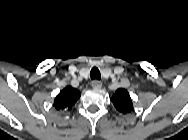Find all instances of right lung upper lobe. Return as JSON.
I'll return each instance as SVG.
<instances>
[{
  "mask_svg": "<svg viewBox=\"0 0 188 140\" xmlns=\"http://www.w3.org/2000/svg\"><path fill=\"white\" fill-rule=\"evenodd\" d=\"M79 90L67 86L56 96L54 100V107L57 110L69 109L80 98Z\"/></svg>",
  "mask_w": 188,
  "mask_h": 140,
  "instance_id": "obj_1",
  "label": "right lung upper lobe"
}]
</instances>
